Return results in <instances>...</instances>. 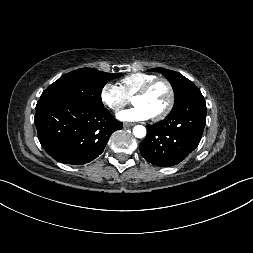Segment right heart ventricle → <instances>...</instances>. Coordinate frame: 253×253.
<instances>
[{
  "mask_svg": "<svg viewBox=\"0 0 253 253\" xmlns=\"http://www.w3.org/2000/svg\"><path fill=\"white\" fill-rule=\"evenodd\" d=\"M155 78L156 76L153 74L132 73L123 77L119 81V86L129 97H132L145 84H147L148 82H150Z\"/></svg>",
  "mask_w": 253,
  "mask_h": 253,
  "instance_id": "1",
  "label": "right heart ventricle"
}]
</instances>
